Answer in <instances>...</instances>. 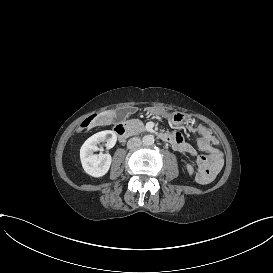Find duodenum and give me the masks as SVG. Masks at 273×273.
<instances>
[{"label": "duodenum", "mask_w": 273, "mask_h": 273, "mask_svg": "<svg viewBox=\"0 0 273 273\" xmlns=\"http://www.w3.org/2000/svg\"><path fill=\"white\" fill-rule=\"evenodd\" d=\"M114 130L120 141H124L130 134V130L125 124L117 125ZM159 136L165 142H170L171 140L168 134L161 133Z\"/></svg>", "instance_id": "1"}]
</instances>
